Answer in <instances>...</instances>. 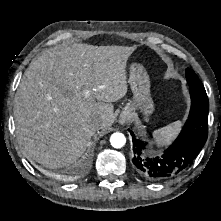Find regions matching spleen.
<instances>
[{
	"mask_svg": "<svg viewBox=\"0 0 221 221\" xmlns=\"http://www.w3.org/2000/svg\"><path fill=\"white\" fill-rule=\"evenodd\" d=\"M182 127V121H175L165 127L153 132L154 141L158 145L169 143L171 138L175 137Z\"/></svg>",
	"mask_w": 221,
	"mask_h": 221,
	"instance_id": "spleen-1",
	"label": "spleen"
}]
</instances>
